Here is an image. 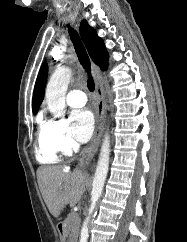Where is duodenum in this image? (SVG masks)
Returning <instances> with one entry per match:
<instances>
[{"label": "duodenum", "mask_w": 187, "mask_h": 242, "mask_svg": "<svg viewBox=\"0 0 187 242\" xmlns=\"http://www.w3.org/2000/svg\"><path fill=\"white\" fill-rule=\"evenodd\" d=\"M58 231L60 234H63V225L62 224L58 225Z\"/></svg>", "instance_id": "obj_1"}]
</instances>
